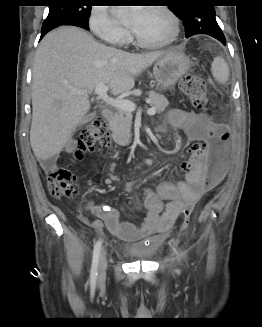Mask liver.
<instances>
[{"label": "liver", "instance_id": "liver-1", "mask_svg": "<svg viewBox=\"0 0 262 327\" xmlns=\"http://www.w3.org/2000/svg\"><path fill=\"white\" fill-rule=\"evenodd\" d=\"M164 54H131L72 26L46 35L33 64L30 144L35 157L46 161L62 151L90 109L88 92L98 84H105L113 95L129 93L134 76Z\"/></svg>", "mask_w": 262, "mask_h": 327}]
</instances>
